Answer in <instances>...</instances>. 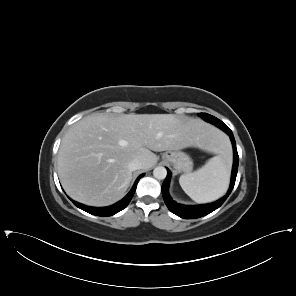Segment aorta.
Wrapping results in <instances>:
<instances>
[{
  "mask_svg": "<svg viewBox=\"0 0 296 296\" xmlns=\"http://www.w3.org/2000/svg\"><path fill=\"white\" fill-rule=\"evenodd\" d=\"M153 175L156 179L162 180L165 179L167 175V170L165 167L159 166L153 170Z\"/></svg>",
  "mask_w": 296,
  "mask_h": 296,
  "instance_id": "762f6f07",
  "label": "aorta"
}]
</instances>
